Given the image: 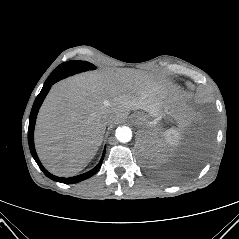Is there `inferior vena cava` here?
<instances>
[{
  "label": "inferior vena cava",
  "mask_w": 239,
  "mask_h": 239,
  "mask_svg": "<svg viewBox=\"0 0 239 239\" xmlns=\"http://www.w3.org/2000/svg\"><path fill=\"white\" fill-rule=\"evenodd\" d=\"M112 121H113V118H112L111 116H108V117L105 118V123H106L107 125L111 124Z\"/></svg>",
  "instance_id": "inferior-vena-cava-1"
}]
</instances>
